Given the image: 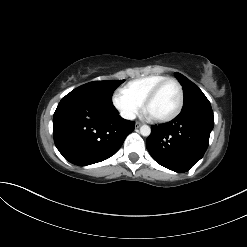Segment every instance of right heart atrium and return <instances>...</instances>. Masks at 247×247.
<instances>
[{
	"instance_id": "right-heart-atrium-1",
	"label": "right heart atrium",
	"mask_w": 247,
	"mask_h": 247,
	"mask_svg": "<svg viewBox=\"0 0 247 247\" xmlns=\"http://www.w3.org/2000/svg\"><path fill=\"white\" fill-rule=\"evenodd\" d=\"M112 104L125 119H133L141 109V103L118 90L112 95Z\"/></svg>"
}]
</instances>
